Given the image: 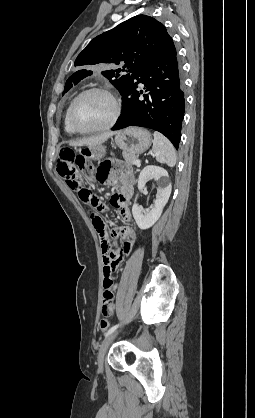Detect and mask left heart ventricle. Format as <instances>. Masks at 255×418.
Listing matches in <instances>:
<instances>
[{"label":"left heart ventricle","mask_w":255,"mask_h":418,"mask_svg":"<svg viewBox=\"0 0 255 418\" xmlns=\"http://www.w3.org/2000/svg\"><path fill=\"white\" fill-rule=\"evenodd\" d=\"M113 113V104L104 94L91 93L76 106L73 120L78 127L92 128L104 125Z\"/></svg>","instance_id":"1"}]
</instances>
